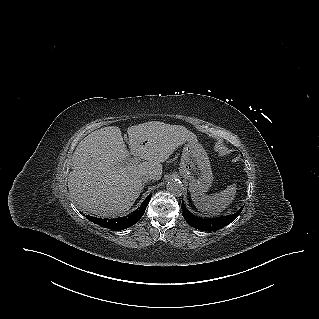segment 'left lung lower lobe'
Here are the masks:
<instances>
[{
  "label": "left lung lower lobe",
  "instance_id": "0a47b994",
  "mask_svg": "<svg viewBox=\"0 0 319 319\" xmlns=\"http://www.w3.org/2000/svg\"><path fill=\"white\" fill-rule=\"evenodd\" d=\"M243 207H241L236 213L232 215L216 218H201L190 213L182 202L183 217L185 218L186 222L190 226L201 231H217L225 227L239 216V214L243 210Z\"/></svg>",
  "mask_w": 319,
  "mask_h": 319
}]
</instances>
